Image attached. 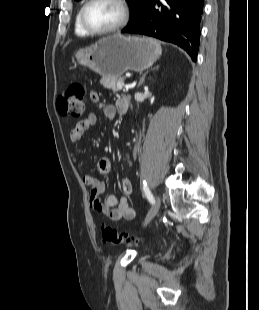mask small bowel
Here are the masks:
<instances>
[{
  "mask_svg": "<svg viewBox=\"0 0 259 310\" xmlns=\"http://www.w3.org/2000/svg\"><path fill=\"white\" fill-rule=\"evenodd\" d=\"M90 98L92 102L99 104L104 115L108 119L114 120L120 100L116 105L102 103L100 102L97 92H91ZM95 123L96 115L93 113L79 121L70 132L71 142L74 144L78 143L82 139L85 132ZM71 157L75 162H78V156L75 149L72 150ZM97 167L101 174H109L112 169L111 161L108 158H101L97 163ZM83 182L86 186L91 188L90 207L93 211L107 216L112 221H119L121 219L131 220L135 217V210L130 205L127 197L133 190L130 179L126 178L122 180L121 188L124 195L120 199H118L116 195L110 194L104 201H102L104 184L99 179L91 174H85L83 176Z\"/></svg>",
  "mask_w": 259,
  "mask_h": 310,
  "instance_id": "c3829d8e",
  "label": "small bowel"
}]
</instances>
